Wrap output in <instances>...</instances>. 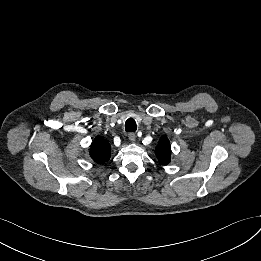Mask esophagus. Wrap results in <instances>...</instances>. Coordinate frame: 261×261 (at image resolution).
Returning <instances> with one entry per match:
<instances>
[{"mask_svg":"<svg viewBox=\"0 0 261 261\" xmlns=\"http://www.w3.org/2000/svg\"><path fill=\"white\" fill-rule=\"evenodd\" d=\"M128 137H129V140H130V141L135 142V140H136V135H135V133H132V132L129 133Z\"/></svg>","mask_w":261,"mask_h":261,"instance_id":"esophagus-1","label":"esophagus"}]
</instances>
